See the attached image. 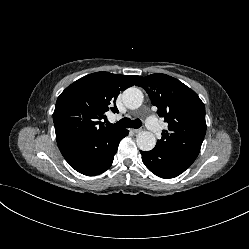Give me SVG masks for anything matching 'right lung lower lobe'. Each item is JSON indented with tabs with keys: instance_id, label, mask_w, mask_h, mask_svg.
I'll return each instance as SVG.
<instances>
[{
	"instance_id": "right-lung-lower-lobe-1",
	"label": "right lung lower lobe",
	"mask_w": 249,
	"mask_h": 249,
	"mask_svg": "<svg viewBox=\"0 0 249 249\" xmlns=\"http://www.w3.org/2000/svg\"><path fill=\"white\" fill-rule=\"evenodd\" d=\"M129 133L119 129L95 138L57 140L58 147L69 165L81 174L94 176L112 164L119 142Z\"/></svg>"
}]
</instances>
